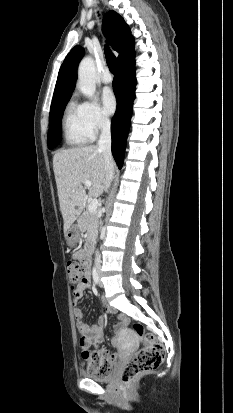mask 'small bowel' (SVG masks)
Wrapping results in <instances>:
<instances>
[{
  "label": "small bowel",
  "instance_id": "small-bowel-1",
  "mask_svg": "<svg viewBox=\"0 0 233 413\" xmlns=\"http://www.w3.org/2000/svg\"><path fill=\"white\" fill-rule=\"evenodd\" d=\"M85 253L82 248H77L74 253V260L80 261L81 259L85 258ZM91 281L90 277L87 274L84 280L79 283L74 291H73V312L76 319V326L78 332L81 335L80 338V346L84 351H90L91 353H99V347L104 342V331H103V318H99L98 323L94 325H90L85 321L83 309L78 305L80 299L83 296V293L86 289L90 288ZM106 310L110 313L114 312V309L107 306ZM121 324L125 325L127 323V319L125 317H120ZM110 360H114L116 355H109Z\"/></svg>",
  "mask_w": 233,
  "mask_h": 413
}]
</instances>
